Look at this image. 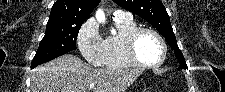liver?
Here are the masks:
<instances>
[{"label":"liver","mask_w":225,"mask_h":92,"mask_svg":"<svg viewBox=\"0 0 225 92\" xmlns=\"http://www.w3.org/2000/svg\"><path fill=\"white\" fill-rule=\"evenodd\" d=\"M142 73L138 69H95L65 54L32 71L30 92H125Z\"/></svg>","instance_id":"liver-1"}]
</instances>
